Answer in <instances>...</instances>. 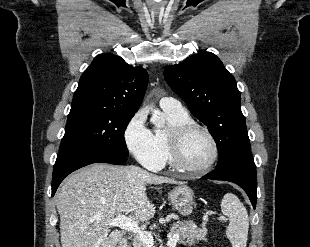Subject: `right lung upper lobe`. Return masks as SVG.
Masks as SVG:
<instances>
[{"instance_id": "right-lung-upper-lobe-1", "label": "right lung upper lobe", "mask_w": 310, "mask_h": 247, "mask_svg": "<svg viewBox=\"0 0 310 247\" xmlns=\"http://www.w3.org/2000/svg\"><path fill=\"white\" fill-rule=\"evenodd\" d=\"M147 83L148 74L142 67L128 65L111 53L97 55L79 80L71 110H113L135 114Z\"/></svg>"}]
</instances>
